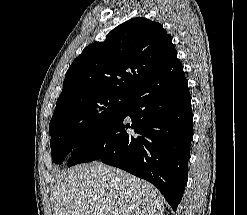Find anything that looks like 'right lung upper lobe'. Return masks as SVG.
Segmentation results:
<instances>
[{"label":"right lung upper lobe","instance_id":"obj_1","mask_svg":"<svg viewBox=\"0 0 247 215\" xmlns=\"http://www.w3.org/2000/svg\"><path fill=\"white\" fill-rule=\"evenodd\" d=\"M175 51L161 24L137 17L87 46L67 70L55 109L97 94L130 95Z\"/></svg>","mask_w":247,"mask_h":215}]
</instances>
